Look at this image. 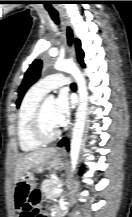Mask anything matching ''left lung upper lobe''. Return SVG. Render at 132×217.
Returning <instances> with one entry per match:
<instances>
[{
	"label": "left lung upper lobe",
	"mask_w": 132,
	"mask_h": 217,
	"mask_svg": "<svg viewBox=\"0 0 132 217\" xmlns=\"http://www.w3.org/2000/svg\"><path fill=\"white\" fill-rule=\"evenodd\" d=\"M76 51H77V57H78V61L79 63L84 66V62H83V57H84V53L81 49V43L78 39H76ZM41 67H42V62L41 60H35L29 67V69L26 71L25 75H24V79L23 82L18 90V94H19V98L17 100V107H19L20 102L25 94V92L27 91V89L38 80V78L40 77V71H41Z\"/></svg>",
	"instance_id": "left-lung-upper-lobe-1"
}]
</instances>
